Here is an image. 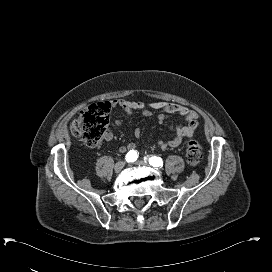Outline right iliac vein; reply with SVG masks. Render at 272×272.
I'll list each match as a JSON object with an SVG mask.
<instances>
[{"mask_svg":"<svg viewBox=\"0 0 272 272\" xmlns=\"http://www.w3.org/2000/svg\"><path fill=\"white\" fill-rule=\"evenodd\" d=\"M124 166H125V162L119 161V162H117L115 164L114 171L118 173V172H120L124 168Z\"/></svg>","mask_w":272,"mask_h":272,"instance_id":"1","label":"right iliac vein"}]
</instances>
